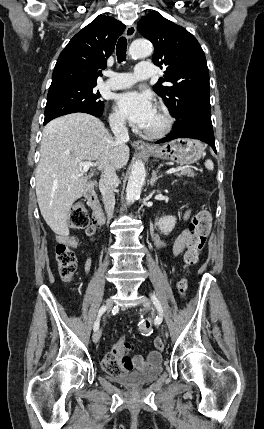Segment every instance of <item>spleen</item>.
I'll list each match as a JSON object with an SVG mask.
<instances>
[{"label": "spleen", "mask_w": 264, "mask_h": 429, "mask_svg": "<svg viewBox=\"0 0 264 429\" xmlns=\"http://www.w3.org/2000/svg\"><path fill=\"white\" fill-rule=\"evenodd\" d=\"M205 167H206L208 170H213V169H214V164H213V162H212L211 160H206V162H205Z\"/></svg>", "instance_id": "obj_1"}]
</instances>
